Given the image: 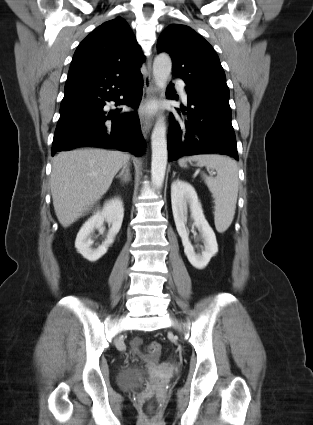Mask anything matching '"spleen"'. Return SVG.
Segmentation results:
<instances>
[{
	"mask_svg": "<svg viewBox=\"0 0 313 425\" xmlns=\"http://www.w3.org/2000/svg\"><path fill=\"white\" fill-rule=\"evenodd\" d=\"M187 161H196L216 170L215 178L205 174L203 178L215 202V227L218 232H225L233 221L237 203L239 179L236 161L222 155L206 154L181 158L178 163L187 167Z\"/></svg>",
	"mask_w": 313,
	"mask_h": 425,
	"instance_id": "3e777b00",
	"label": "spleen"
}]
</instances>
